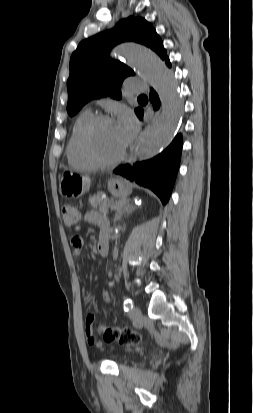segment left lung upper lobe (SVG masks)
Returning <instances> with one entry per match:
<instances>
[{
	"mask_svg": "<svg viewBox=\"0 0 253 413\" xmlns=\"http://www.w3.org/2000/svg\"><path fill=\"white\" fill-rule=\"evenodd\" d=\"M124 41H134L155 51L161 59L167 51L153 26L141 17H128L108 31L80 42L70 59L67 81V112L75 115L93 98L111 96L121 99V82L134 72L122 62L110 58L111 49ZM141 108L135 109L136 114Z\"/></svg>",
	"mask_w": 253,
	"mask_h": 413,
	"instance_id": "left-lung-upper-lobe-1",
	"label": "left lung upper lobe"
}]
</instances>
